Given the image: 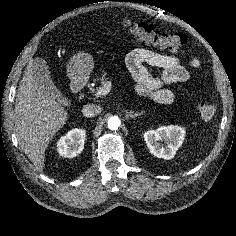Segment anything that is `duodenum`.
Instances as JSON below:
<instances>
[{
  "label": "duodenum",
  "mask_w": 236,
  "mask_h": 236,
  "mask_svg": "<svg viewBox=\"0 0 236 236\" xmlns=\"http://www.w3.org/2000/svg\"><path fill=\"white\" fill-rule=\"evenodd\" d=\"M84 88V82L81 79H75L71 83V92L73 94H79Z\"/></svg>",
  "instance_id": "410a0bca"
}]
</instances>
